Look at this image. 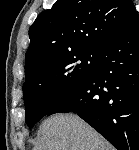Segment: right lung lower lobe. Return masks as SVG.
Returning a JSON list of instances; mask_svg holds the SVG:
<instances>
[{
  "label": "right lung lower lobe",
  "mask_w": 139,
  "mask_h": 150,
  "mask_svg": "<svg viewBox=\"0 0 139 150\" xmlns=\"http://www.w3.org/2000/svg\"><path fill=\"white\" fill-rule=\"evenodd\" d=\"M73 112L118 150H139V16L102 48L92 73L47 113Z\"/></svg>",
  "instance_id": "right-lung-lower-lobe-1"
}]
</instances>
